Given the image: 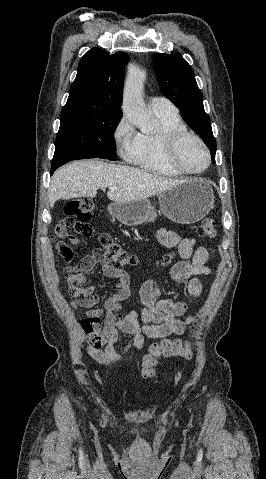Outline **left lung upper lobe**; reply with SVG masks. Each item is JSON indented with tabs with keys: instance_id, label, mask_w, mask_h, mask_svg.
I'll list each match as a JSON object with an SVG mask.
<instances>
[{
	"instance_id": "obj_1",
	"label": "left lung upper lobe",
	"mask_w": 266,
	"mask_h": 479,
	"mask_svg": "<svg viewBox=\"0 0 266 479\" xmlns=\"http://www.w3.org/2000/svg\"><path fill=\"white\" fill-rule=\"evenodd\" d=\"M162 94L178 105L184 121L202 138L215 163L216 140L203 106V96L187 61L178 53H156L153 57Z\"/></svg>"
}]
</instances>
